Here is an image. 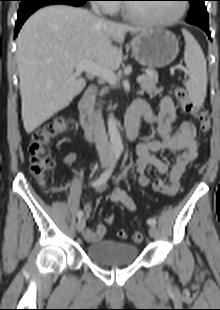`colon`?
Returning <instances> with one entry per match:
<instances>
[{
    "mask_svg": "<svg viewBox=\"0 0 220 310\" xmlns=\"http://www.w3.org/2000/svg\"><path fill=\"white\" fill-rule=\"evenodd\" d=\"M174 94L177 101L180 103L182 110L195 118L199 122L200 133L206 136L211 130V115L206 106L192 101L182 86H176ZM67 128L65 120H58L53 124L47 125L33 134L32 142L29 145L30 153V172L44 183L47 173L53 169L54 160L49 152V146L52 141ZM115 220L114 215H109L106 218L108 224H112ZM117 236L125 239L128 233L125 230H119ZM132 240L136 243H141L144 240L142 232H134Z\"/></svg>",
    "mask_w": 220,
    "mask_h": 310,
    "instance_id": "obj_1",
    "label": "colon"
}]
</instances>
